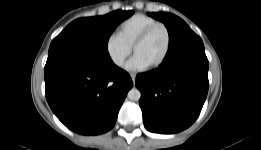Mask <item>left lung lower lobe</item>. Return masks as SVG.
<instances>
[{
    "label": "left lung lower lobe",
    "mask_w": 261,
    "mask_h": 150,
    "mask_svg": "<svg viewBox=\"0 0 261 150\" xmlns=\"http://www.w3.org/2000/svg\"><path fill=\"white\" fill-rule=\"evenodd\" d=\"M208 66L202 40L189 31L170 46L157 69L137 75L147 130L177 133L197 119L208 92Z\"/></svg>",
    "instance_id": "left-lung-lower-lobe-1"
}]
</instances>
